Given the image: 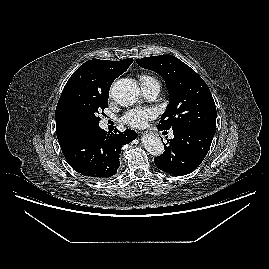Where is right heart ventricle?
<instances>
[{
    "label": "right heart ventricle",
    "instance_id": "right-heart-ventricle-1",
    "mask_svg": "<svg viewBox=\"0 0 269 269\" xmlns=\"http://www.w3.org/2000/svg\"><path fill=\"white\" fill-rule=\"evenodd\" d=\"M145 79H151V77L150 76H147V75L141 76V80H145Z\"/></svg>",
    "mask_w": 269,
    "mask_h": 269
}]
</instances>
